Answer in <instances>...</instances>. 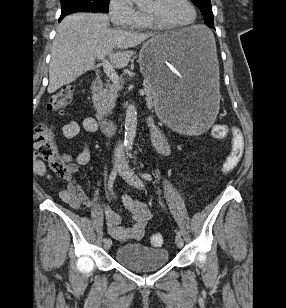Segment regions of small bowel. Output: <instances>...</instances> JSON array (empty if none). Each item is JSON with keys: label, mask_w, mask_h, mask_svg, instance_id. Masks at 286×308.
<instances>
[{"label": "small bowel", "mask_w": 286, "mask_h": 308, "mask_svg": "<svg viewBox=\"0 0 286 308\" xmlns=\"http://www.w3.org/2000/svg\"><path fill=\"white\" fill-rule=\"evenodd\" d=\"M98 123L93 117H86L81 122L70 121L62 128L64 138L71 139L78 136L81 132L96 133L98 131ZM232 132V140L242 139L239 131L235 128H230ZM158 151L165 157L171 155V147L169 143L158 138L154 140ZM91 152L88 144H83L82 150L76 155H65L64 159L67 162L68 174L65 177L66 187L59 193L60 199L69 205L71 208L80 210L89 207L96 202L98 188H95L93 198L88 197L78 184L75 176L80 170V167L89 163ZM35 170L41 176L49 177L47 169L42 162L35 163ZM123 204L129 213L131 225L124 226V217L105 209V219L109 234L119 242L125 243L128 241H138L142 238L145 226L151 217L150 210L143 202L136 200L131 195L123 197Z\"/></svg>", "instance_id": "c3829d8e"}]
</instances>
